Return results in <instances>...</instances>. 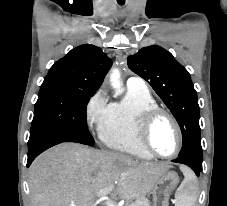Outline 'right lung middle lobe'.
<instances>
[{
    "mask_svg": "<svg viewBox=\"0 0 227 206\" xmlns=\"http://www.w3.org/2000/svg\"><path fill=\"white\" fill-rule=\"evenodd\" d=\"M94 92L41 86L35 104L30 139L46 132H62L76 137L81 143L94 145L86 123L85 105Z\"/></svg>",
    "mask_w": 227,
    "mask_h": 206,
    "instance_id": "dd1d6c3e",
    "label": "right lung middle lobe"
}]
</instances>
